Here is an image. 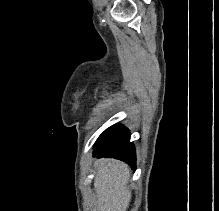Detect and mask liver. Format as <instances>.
<instances>
[{"label":"liver","instance_id":"6515ba94","mask_svg":"<svg viewBox=\"0 0 219 211\" xmlns=\"http://www.w3.org/2000/svg\"><path fill=\"white\" fill-rule=\"evenodd\" d=\"M95 165L94 187L99 211H126L131 199L129 165L119 159H97Z\"/></svg>","mask_w":219,"mask_h":211}]
</instances>
